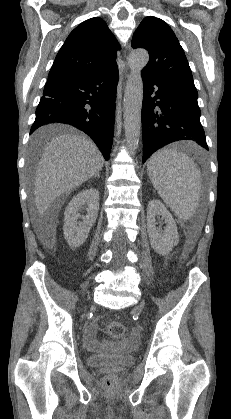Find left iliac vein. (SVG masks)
Listing matches in <instances>:
<instances>
[{
	"label": "left iliac vein",
	"mask_w": 231,
	"mask_h": 419,
	"mask_svg": "<svg viewBox=\"0 0 231 419\" xmlns=\"http://www.w3.org/2000/svg\"><path fill=\"white\" fill-rule=\"evenodd\" d=\"M142 307H143V306H142V304H140V305H138V306L136 307V310H137V311H141V310H142Z\"/></svg>",
	"instance_id": "obj_1"
}]
</instances>
